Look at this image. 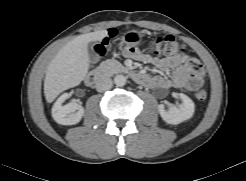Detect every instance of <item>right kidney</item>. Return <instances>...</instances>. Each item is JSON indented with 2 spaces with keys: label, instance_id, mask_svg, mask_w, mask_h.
Instances as JSON below:
<instances>
[{
  "label": "right kidney",
  "instance_id": "1",
  "mask_svg": "<svg viewBox=\"0 0 246 181\" xmlns=\"http://www.w3.org/2000/svg\"><path fill=\"white\" fill-rule=\"evenodd\" d=\"M68 95L65 93L61 95L52 107V117L62 125H74L80 122L84 115V109L76 102H70L66 105L62 103L67 99Z\"/></svg>",
  "mask_w": 246,
  "mask_h": 181
}]
</instances>
